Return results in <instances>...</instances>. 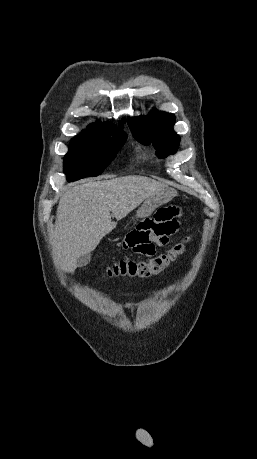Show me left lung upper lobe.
Returning <instances> with one entry per match:
<instances>
[{
    "label": "left lung upper lobe",
    "mask_w": 257,
    "mask_h": 459,
    "mask_svg": "<svg viewBox=\"0 0 257 459\" xmlns=\"http://www.w3.org/2000/svg\"><path fill=\"white\" fill-rule=\"evenodd\" d=\"M174 122L173 114L158 111L144 119L128 117V125L133 136L144 145L152 142L160 158L175 153L179 145L180 138L173 131Z\"/></svg>",
    "instance_id": "5c2ea615"
}]
</instances>
